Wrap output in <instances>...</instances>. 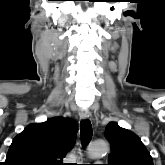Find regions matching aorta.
<instances>
[{"mask_svg":"<svg viewBox=\"0 0 165 165\" xmlns=\"http://www.w3.org/2000/svg\"><path fill=\"white\" fill-rule=\"evenodd\" d=\"M108 150L109 147L105 141H96L89 146L88 155L91 158H100L106 155Z\"/></svg>","mask_w":165,"mask_h":165,"instance_id":"762f6f07","label":"aorta"}]
</instances>
